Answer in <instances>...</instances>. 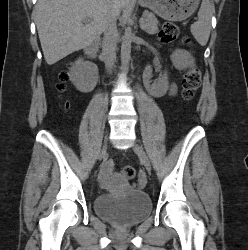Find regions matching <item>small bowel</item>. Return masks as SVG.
Returning a JSON list of instances; mask_svg holds the SVG:
<instances>
[{"label":"small bowel","mask_w":248,"mask_h":250,"mask_svg":"<svg viewBox=\"0 0 248 250\" xmlns=\"http://www.w3.org/2000/svg\"><path fill=\"white\" fill-rule=\"evenodd\" d=\"M172 60H173L175 67L178 70H184L187 67L194 64L193 58L183 49H176L173 52ZM151 88L154 91H159V82L156 80L152 81ZM176 90L177 88L174 83H171L168 86V92L170 95H174L176 93ZM110 173H111V166L109 164H105L101 170V178L103 180H106L108 176L110 175Z\"/></svg>","instance_id":"obj_1"}]
</instances>
